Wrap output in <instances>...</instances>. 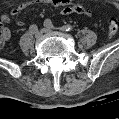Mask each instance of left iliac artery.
I'll return each instance as SVG.
<instances>
[{
	"mask_svg": "<svg viewBox=\"0 0 119 119\" xmlns=\"http://www.w3.org/2000/svg\"><path fill=\"white\" fill-rule=\"evenodd\" d=\"M44 26L55 28L53 22L50 19H46L44 21ZM56 28L63 30V31H67V32L73 31V27L71 25H63L61 27H56Z\"/></svg>",
	"mask_w": 119,
	"mask_h": 119,
	"instance_id": "44dca946",
	"label": "left iliac artery"
}]
</instances>
